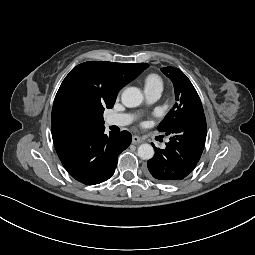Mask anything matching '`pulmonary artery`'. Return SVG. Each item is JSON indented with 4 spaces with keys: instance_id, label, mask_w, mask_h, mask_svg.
<instances>
[{
    "instance_id": "obj_1",
    "label": "pulmonary artery",
    "mask_w": 255,
    "mask_h": 255,
    "mask_svg": "<svg viewBox=\"0 0 255 255\" xmlns=\"http://www.w3.org/2000/svg\"><path fill=\"white\" fill-rule=\"evenodd\" d=\"M146 97L150 102L156 101L161 94L159 90L145 91ZM132 121V116L129 114H114L106 118L105 123L108 126H125Z\"/></svg>"
}]
</instances>
